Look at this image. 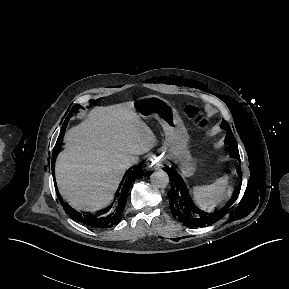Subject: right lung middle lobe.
<instances>
[{"label": "right lung middle lobe", "mask_w": 289, "mask_h": 289, "mask_svg": "<svg viewBox=\"0 0 289 289\" xmlns=\"http://www.w3.org/2000/svg\"><path fill=\"white\" fill-rule=\"evenodd\" d=\"M79 108H80L79 105L74 106V107L72 108L73 113H76V110L79 109ZM71 116H72V114H71ZM69 117H70V115L67 117V119L65 120L64 124H67V122H68V120H69Z\"/></svg>", "instance_id": "1"}]
</instances>
